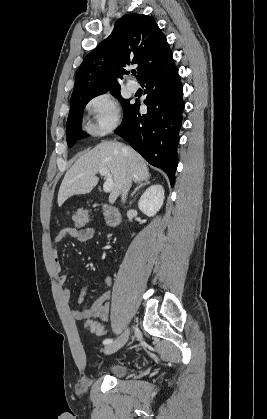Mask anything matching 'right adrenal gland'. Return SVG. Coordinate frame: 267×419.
Segmentation results:
<instances>
[{
	"instance_id": "right-adrenal-gland-1",
	"label": "right adrenal gland",
	"mask_w": 267,
	"mask_h": 419,
	"mask_svg": "<svg viewBox=\"0 0 267 419\" xmlns=\"http://www.w3.org/2000/svg\"><path fill=\"white\" fill-rule=\"evenodd\" d=\"M148 184H150V181H148V180H146L144 183H140L135 189H134V191L131 193V197H133V195L140 189V188H142L143 186H146V185H148Z\"/></svg>"
}]
</instances>
